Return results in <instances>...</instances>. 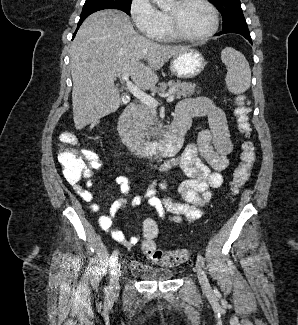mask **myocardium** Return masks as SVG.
I'll list each match as a JSON object with an SVG mask.
<instances>
[{"label":"myocardium","mask_w":298,"mask_h":325,"mask_svg":"<svg viewBox=\"0 0 298 325\" xmlns=\"http://www.w3.org/2000/svg\"><path fill=\"white\" fill-rule=\"evenodd\" d=\"M194 1L206 8L211 17V27L203 35L197 37H189L182 33L177 25L173 8L179 7L187 2ZM168 5L162 4V9L166 17V34L171 38L184 42L200 43L210 39L218 29V19L213 7L205 0H169L166 1Z\"/></svg>","instance_id":"obj_1"}]
</instances>
